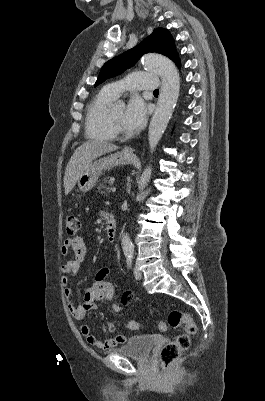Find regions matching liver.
<instances>
[{
	"label": "liver",
	"mask_w": 265,
	"mask_h": 401,
	"mask_svg": "<svg viewBox=\"0 0 265 401\" xmlns=\"http://www.w3.org/2000/svg\"><path fill=\"white\" fill-rule=\"evenodd\" d=\"M118 146L108 142V140H86L74 150L65 170L64 188L65 194H69L75 186L80 174L86 170L88 164L94 158L116 150Z\"/></svg>",
	"instance_id": "liver-1"
}]
</instances>
